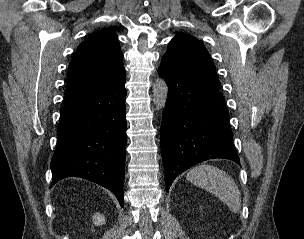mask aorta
I'll list each match as a JSON object with an SVG mask.
<instances>
[{
    "mask_svg": "<svg viewBox=\"0 0 304 239\" xmlns=\"http://www.w3.org/2000/svg\"><path fill=\"white\" fill-rule=\"evenodd\" d=\"M153 97L156 109H163L168 97V86L161 78H158L153 85Z\"/></svg>",
    "mask_w": 304,
    "mask_h": 239,
    "instance_id": "aorta-1",
    "label": "aorta"
}]
</instances>
